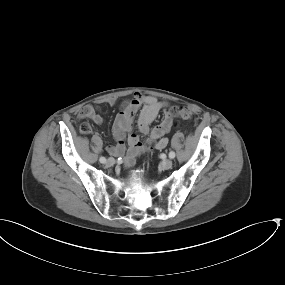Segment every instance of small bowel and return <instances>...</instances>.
<instances>
[{
  "label": "small bowel",
  "mask_w": 285,
  "mask_h": 285,
  "mask_svg": "<svg viewBox=\"0 0 285 285\" xmlns=\"http://www.w3.org/2000/svg\"><path fill=\"white\" fill-rule=\"evenodd\" d=\"M110 104H114L113 99L109 100ZM171 105L167 101H159L153 96L135 93L131 98L122 101L121 109L116 116L113 124V136L116 144L108 146V151L113 154H122L125 152L124 140H127L128 147L125 154V166L132 167L136 158L143 152L147 151V147L143 145L139 136L133 131L136 122L139 132L147 136L146 143L155 149L161 150L168 145V139L165 135L174 126V122L170 116ZM163 112V119L153 128L151 123L157 115ZM138 116L136 118V114ZM79 120L89 119L97 125L105 123L104 118L97 113L94 105H84L78 112ZM80 131L89 134L92 131L91 125L83 122L80 125Z\"/></svg>",
  "instance_id": "1"
}]
</instances>
